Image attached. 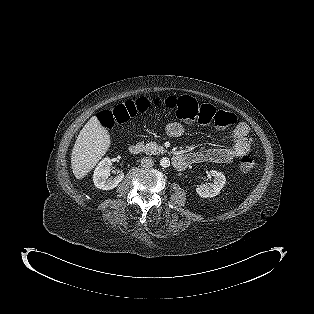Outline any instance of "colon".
<instances>
[{
    "instance_id": "obj_1",
    "label": "colon",
    "mask_w": 314,
    "mask_h": 314,
    "mask_svg": "<svg viewBox=\"0 0 314 314\" xmlns=\"http://www.w3.org/2000/svg\"><path fill=\"white\" fill-rule=\"evenodd\" d=\"M166 107L175 110L178 119L184 122H198L201 124H213L219 130H227L233 127L236 119L233 114L224 110H218L211 105L199 104L190 96H168L162 100L154 98H139L135 101H127L117 105L113 110H103L97 114L98 123L112 129L116 125H124L130 122L138 114L147 112L152 106ZM255 161L250 155H243L239 159V168L243 172L253 169Z\"/></svg>"
}]
</instances>
